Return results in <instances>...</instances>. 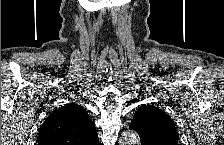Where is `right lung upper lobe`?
I'll use <instances>...</instances> for the list:
<instances>
[{
  "label": "right lung upper lobe",
  "mask_w": 224,
  "mask_h": 145,
  "mask_svg": "<svg viewBox=\"0 0 224 145\" xmlns=\"http://www.w3.org/2000/svg\"><path fill=\"white\" fill-rule=\"evenodd\" d=\"M38 145H97L98 135L89 115L70 103L54 110L40 127Z\"/></svg>",
  "instance_id": "right-lung-upper-lobe-1"
}]
</instances>
